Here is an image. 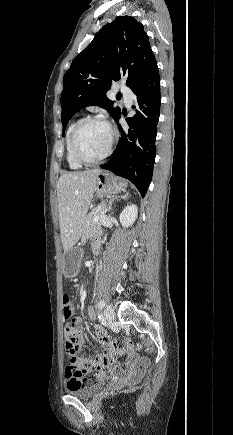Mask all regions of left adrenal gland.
<instances>
[{"mask_svg": "<svg viewBox=\"0 0 233 435\" xmlns=\"http://www.w3.org/2000/svg\"><path fill=\"white\" fill-rule=\"evenodd\" d=\"M128 197H129V194L125 193L124 195H121V196H118V197H115L114 199H112L108 204V211L112 210V204L114 203L115 200H119V198L127 199Z\"/></svg>", "mask_w": 233, "mask_h": 435, "instance_id": "1", "label": "left adrenal gland"}]
</instances>
